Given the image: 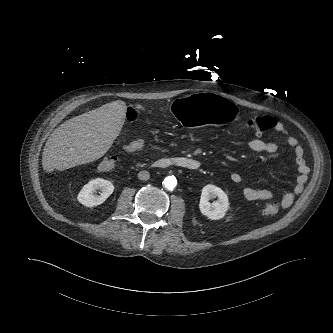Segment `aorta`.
<instances>
[{"label": "aorta", "mask_w": 333, "mask_h": 333, "mask_svg": "<svg viewBox=\"0 0 333 333\" xmlns=\"http://www.w3.org/2000/svg\"><path fill=\"white\" fill-rule=\"evenodd\" d=\"M163 184L167 189H174L177 185V180L174 176H168L164 179Z\"/></svg>", "instance_id": "1"}]
</instances>
